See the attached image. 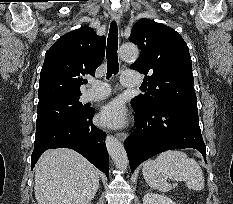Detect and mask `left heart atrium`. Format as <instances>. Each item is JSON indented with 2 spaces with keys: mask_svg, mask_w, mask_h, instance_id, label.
I'll return each instance as SVG.
<instances>
[{
  "mask_svg": "<svg viewBox=\"0 0 233 204\" xmlns=\"http://www.w3.org/2000/svg\"><path fill=\"white\" fill-rule=\"evenodd\" d=\"M126 117L125 106L119 100H113L106 104L99 114L101 124L114 128L124 125Z\"/></svg>",
  "mask_w": 233,
  "mask_h": 204,
  "instance_id": "left-heart-atrium-1",
  "label": "left heart atrium"
}]
</instances>
